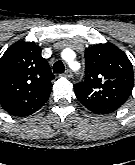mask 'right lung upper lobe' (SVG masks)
Returning a JSON list of instances; mask_svg holds the SVG:
<instances>
[{"instance_id":"1","label":"right lung upper lobe","mask_w":135,"mask_h":165,"mask_svg":"<svg viewBox=\"0 0 135 165\" xmlns=\"http://www.w3.org/2000/svg\"><path fill=\"white\" fill-rule=\"evenodd\" d=\"M54 75L34 42L17 41L0 59V104L25 117L40 109L51 93Z\"/></svg>"}]
</instances>
